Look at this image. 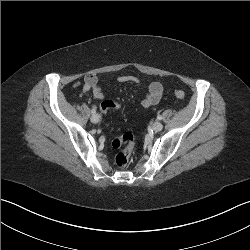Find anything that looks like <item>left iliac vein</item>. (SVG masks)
I'll use <instances>...</instances> for the list:
<instances>
[{"mask_svg":"<svg viewBox=\"0 0 250 250\" xmlns=\"http://www.w3.org/2000/svg\"><path fill=\"white\" fill-rule=\"evenodd\" d=\"M152 128L155 132H159L163 129V125L160 122H155L153 123Z\"/></svg>","mask_w":250,"mask_h":250,"instance_id":"obj_1","label":"left iliac vein"}]
</instances>
